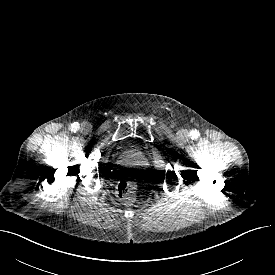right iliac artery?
Returning a JSON list of instances; mask_svg holds the SVG:
<instances>
[{
	"label": "right iliac artery",
	"mask_w": 275,
	"mask_h": 275,
	"mask_svg": "<svg viewBox=\"0 0 275 275\" xmlns=\"http://www.w3.org/2000/svg\"><path fill=\"white\" fill-rule=\"evenodd\" d=\"M79 128V124L77 122L71 125V131L76 132Z\"/></svg>",
	"instance_id": "82829eb1"
}]
</instances>
